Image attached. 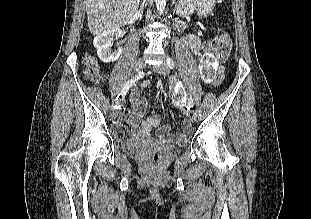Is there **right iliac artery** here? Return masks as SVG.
Returning <instances> with one entry per match:
<instances>
[{"label": "right iliac artery", "instance_id": "right-iliac-artery-1", "mask_svg": "<svg viewBox=\"0 0 311 219\" xmlns=\"http://www.w3.org/2000/svg\"><path fill=\"white\" fill-rule=\"evenodd\" d=\"M144 76L143 72H139L135 77L131 78L130 80H128L126 82V84L123 86L122 90H121V96L122 98L125 97V95L127 94L129 88L140 78H142Z\"/></svg>", "mask_w": 311, "mask_h": 219}]
</instances>
